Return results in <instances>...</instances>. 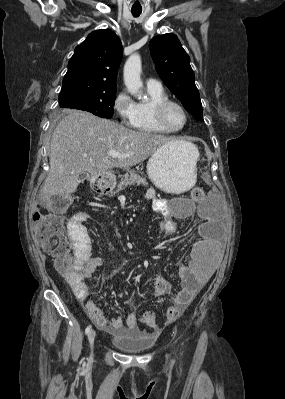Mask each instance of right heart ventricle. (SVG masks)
Wrapping results in <instances>:
<instances>
[{
  "label": "right heart ventricle",
  "mask_w": 285,
  "mask_h": 399,
  "mask_svg": "<svg viewBox=\"0 0 285 399\" xmlns=\"http://www.w3.org/2000/svg\"><path fill=\"white\" fill-rule=\"evenodd\" d=\"M149 101L136 104V123L134 128L141 132L166 134L170 133L158 126L154 116V107L161 101L169 99L162 87L148 88Z\"/></svg>",
  "instance_id": "1"
}]
</instances>
